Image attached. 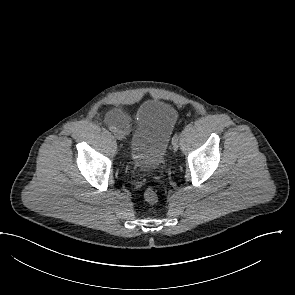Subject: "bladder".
Returning a JSON list of instances; mask_svg holds the SVG:
<instances>
[{"label":"bladder","instance_id":"1","mask_svg":"<svg viewBox=\"0 0 295 295\" xmlns=\"http://www.w3.org/2000/svg\"><path fill=\"white\" fill-rule=\"evenodd\" d=\"M176 111L168 103L151 99L137 110L130 136L133 164L143 171L160 167L176 122Z\"/></svg>","mask_w":295,"mask_h":295}]
</instances>
